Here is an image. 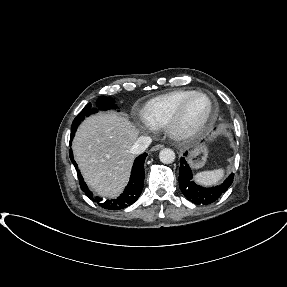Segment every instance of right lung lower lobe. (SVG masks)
Returning a JSON list of instances; mask_svg holds the SVG:
<instances>
[{
    "label": "right lung lower lobe",
    "mask_w": 287,
    "mask_h": 287,
    "mask_svg": "<svg viewBox=\"0 0 287 287\" xmlns=\"http://www.w3.org/2000/svg\"><path fill=\"white\" fill-rule=\"evenodd\" d=\"M75 135L74 133H71L70 137V145L72 142V139ZM147 156V153H143L139 157H137L134 161L132 171H131V176L129 183L123 193L116 199H111V200H102L100 197H96L93 195V193L88 189L86 183L83 180V177L78 170V166L76 162L73 159V153L72 150L70 149V159L71 162L74 164L76 170H77V175L80 183L81 189L85 192V194L93 201H96L102 208L108 209V210H119V209H124L131 204H133L141 195L142 189H143V183H144V177H145V172H144V162L145 158Z\"/></svg>",
    "instance_id": "right-lung-lower-lobe-1"
}]
</instances>
